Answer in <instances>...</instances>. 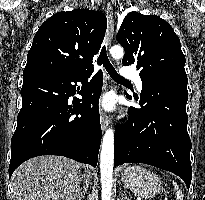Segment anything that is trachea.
Returning <instances> with one entry per match:
<instances>
[{"mask_svg":"<svg viewBox=\"0 0 205 200\" xmlns=\"http://www.w3.org/2000/svg\"><path fill=\"white\" fill-rule=\"evenodd\" d=\"M97 64L98 65H104L105 69L107 70V72L109 73V75L111 76V78L117 82H121V83H131L130 81L124 79L123 77H121L115 70V68L112 66V64L110 63L107 53H106V47L105 45L102 47V50L100 52V55L97 59Z\"/></svg>","mask_w":205,"mask_h":200,"instance_id":"obj_1","label":"trachea"}]
</instances>
